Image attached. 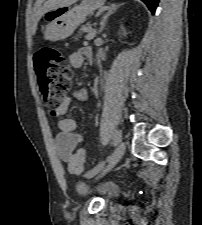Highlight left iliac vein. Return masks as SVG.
<instances>
[{
	"mask_svg": "<svg viewBox=\"0 0 202 225\" xmlns=\"http://www.w3.org/2000/svg\"><path fill=\"white\" fill-rule=\"evenodd\" d=\"M124 152H125V143L123 141H120L112 155V158L110 159L108 166L106 167V169L103 171L102 174H105L106 172L110 171L123 157Z\"/></svg>",
	"mask_w": 202,
	"mask_h": 225,
	"instance_id": "1",
	"label": "left iliac vein"
}]
</instances>
